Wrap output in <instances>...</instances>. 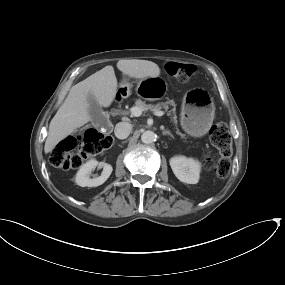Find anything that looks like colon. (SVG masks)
Listing matches in <instances>:
<instances>
[{
  "label": "colon",
  "mask_w": 285,
  "mask_h": 285,
  "mask_svg": "<svg viewBox=\"0 0 285 285\" xmlns=\"http://www.w3.org/2000/svg\"><path fill=\"white\" fill-rule=\"evenodd\" d=\"M166 71L172 77L186 81L193 75L195 67L171 61L166 64ZM209 139L217 149L220 158L215 161L206 154L204 156L205 167L208 171H213L216 176L224 178L229 173L232 154V141L227 125L223 122L213 125L209 132ZM109 144L108 136L100 135L93 130L70 135L52 151L50 162L54 167L63 170L75 169L82 164L86 156L97 153Z\"/></svg>",
  "instance_id": "obj_1"
}]
</instances>
